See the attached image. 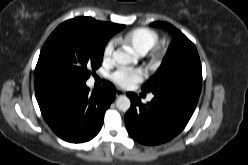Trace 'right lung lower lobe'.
I'll return each instance as SVG.
<instances>
[{
  "instance_id": "obj_1",
  "label": "right lung lower lobe",
  "mask_w": 248,
  "mask_h": 165,
  "mask_svg": "<svg viewBox=\"0 0 248 165\" xmlns=\"http://www.w3.org/2000/svg\"><path fill=\"white\" fill-rule=\"evenodd\" d=\"M115 94L114 85L106 81L100 91L93 92L86 84H53L36 94V98L51 129L65 141L80 143L99 133Z\"/></svg>"
}]
</instances>
